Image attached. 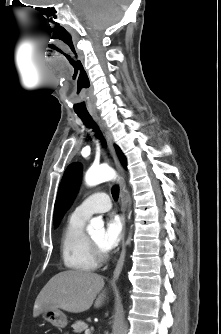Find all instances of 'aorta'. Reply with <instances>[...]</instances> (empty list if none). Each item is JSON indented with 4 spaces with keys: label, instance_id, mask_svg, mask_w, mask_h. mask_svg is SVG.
Wrapping results in <instances>:
<instances>
[{
    "label": "aorta",
    "instance_id": "762f6f07",
    "mask_svg": "<svg viewBox=\"0 0 221 334\" xmlns=\"http://www.w3.org/2000/svg\"><path fill=\"white\" fill-rule=\"evenodd\" d=\"M116 172L108 166L91 167L85 175V182L88 186H96L100 183L110 181L116 178ZM104 222L101 218H93L87 227L89 233L95 230H103Z\"/></svg>",
    "mask_w": 221,
    "mask_h": 334
}]
</instances>
